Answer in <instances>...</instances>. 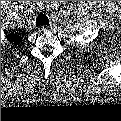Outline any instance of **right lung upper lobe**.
I'll return each mask as SVG.
<instances>
[{"instance_id": "1", "label": "right lung upper lobe", "mask_w": 121, "mask_h": 121, "mask_svg": "<svg viewBox=\"0 0 121 121\" xmlns=\"http://www.w3.org/2000/svg\"><path fill=\"white\" fill-rule=\"evenodd\" d=\"M6 37L12 44H15V45L20 44L24 40L23 36H21L20 34L14 31L8 33Z\"/></svg>"}]
</instances>
